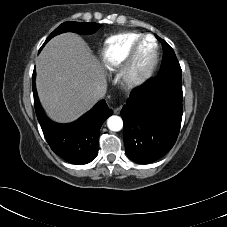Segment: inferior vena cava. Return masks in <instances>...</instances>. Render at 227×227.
I'll return each instance as SVG.
<instances>
[{
    "mask_svg": "<svg viewBox=\"0 0 227 227\" xmlns=\"http://www.w3.org/2000/svg\"><path fill=\"white\" fill-rule=\"evenodd\" d=\"M107 90V85L106 84H102L100 86H98L92 93V98L95 101H98L100 99H102L106 93Z\"/></svg>",
    "mask_w": 227,
    "mask_h": 227,
    "instance_id": "obj_1",
    "label": "inferior vena cava"
}]
</instances>
